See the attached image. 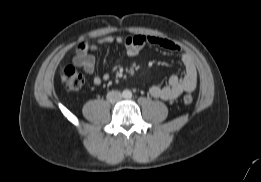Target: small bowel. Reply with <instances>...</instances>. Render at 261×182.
Wrapping results in <instances>:
<instances>
[{"label": "small bowel", "mask_w": 261, "mask_h": 182, "mask_svg": "<svg viewBox=\"0 0 261 182\" xmlns=\"http://www.w3.org/2000/svg\"><path fill=\"white\" fill-rule=\"evenodd\" d=\"M103 45H123L125 52L129 57L136 56L147 46L159 47L166 51L179 53L181 55L182 68L184 71L183 76L179 77L177 74L173 73L169 77L167 85L152 86L149 92L154 98L171 101L180 96L183 92H192L196 88L197 69L191 54L183 50L172 40L163 37L146 35H135L126 38L105 36L99 38L95 43L82 42L77 46L73 63L85 73L92 74L95 71L96 59L91 53L99 52L100 47ZM109 78V73L96 75L93 78V84L99 86L104 81L109 80Z\"/></svg>", "instance_id": "c3829d8e"}]
</instances>
